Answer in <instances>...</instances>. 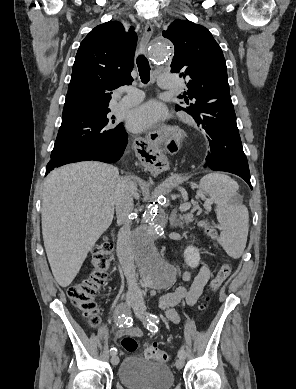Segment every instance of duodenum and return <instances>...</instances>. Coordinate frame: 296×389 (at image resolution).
Here are the masks:
<instances>
[{
  "mask_svg": "<svg viewBox=\"0 0 296 389\" xmlns=\"http://www.w3.org/2000/svg\"><path fill=\"white\" fill-rule=\"evenodd\" d=\"M117 252L121 261L129 256V246L126 239H119L117 242Z\"/></svg>",
  "mask_w": 296,
  "mask_h": 389,
  "instance_id": "410a0bca",
  "label": "duodenum"
}]
</instances>
